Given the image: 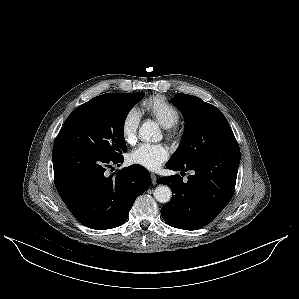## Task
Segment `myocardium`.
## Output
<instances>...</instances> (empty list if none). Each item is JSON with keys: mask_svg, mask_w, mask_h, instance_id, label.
<instances>
[{"mask_svg": "<svg viewBox=\"0 0 299 299\" xmlns=\"http://www.w3.org/2000/svg\"><path fill=\"white\" fill-rule=\"evenodd\" d=\"M167 130V135L172 138V137H175L176 133L175 131H173L171 128H166Z\"/></svg>", "mask_w": 299, "mask_h": 299, "instance_id": "myocardium-1", "label": "myocardium"}]
</instances>
